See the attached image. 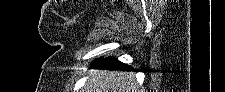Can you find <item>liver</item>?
<instances>
[{
  "mask_svg": "<svg viewBox=\"0 0 225 92\" xmlns=\"http://www.w3.org/2000/svg\"><path fill=\"white\" fill-rule=\"evenodd\" d=\"M86 92H139L133 73L99 71L91 73Z\"/></svg>",
  "mask_w": 225,
  "mask_h": 92,
  "instance_id": "6515ba94",
  "label": "liver"
}]
</instances>
